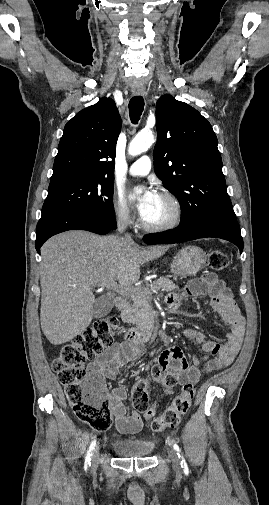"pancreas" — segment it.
<instances>
[{"label": "pancreas", "mask_w": 269, "mask_h": 505, "mask_svg": "<svg viewBox=\"0 0 269 505\" xmlns=\"http://www.w3.org/2000/svg\"><path fill=\"white\" fill-rule=\"evenodd\" d=\"M171 280L159 278L153 283V287H138L129 295L131 305L121 311V319L124 323L143 325L150 311L152 290L170 292L177 288Z\"/></svg>", "instance_id": "obj_1"}]
</instances>
